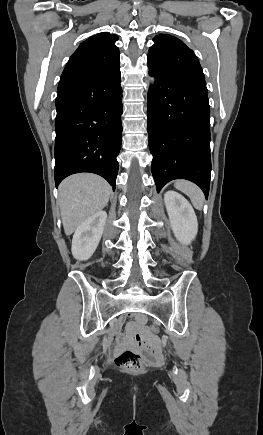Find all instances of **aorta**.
<instances>
[{"mask_svg":"<svg viewBox=\"0 0 263 435\" xmlns=\"http://www.w3.org/2000/svg\"><path fill=\"white\" fill-rule=\"evenodd\" d=\"M149 81H150L151 84H153V83H154V78L151 77V78L149 79Z\"/></svg>","mask_w":263,"mask_h":435,"instance_id":"aorta-1","label":"aorta"}]
</instances>
